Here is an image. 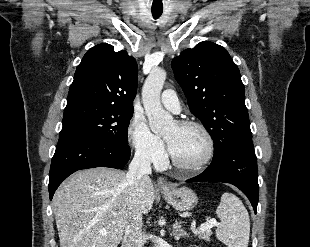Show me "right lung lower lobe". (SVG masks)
I'll list each match as a JSON object with an SVG mask.
<instances>
[{"mask_svg":"<svg viewBox=\"0 0 310 247\" xmlns=\"http://www.w3.org/2000/svg\"><path fill=\"white\" fill-rule=\"evenodd\" d=\"M129 158L128 145L118 147L81 136L60 138L50 168V200L61 182L75 171L94 167L118 169L123 167Z\"/></svg>","mask_w":310,"mask_h":247,"instance_id":"98d812e1","label":"right lung lower lobe"}]
</instances>
